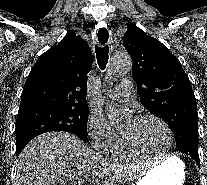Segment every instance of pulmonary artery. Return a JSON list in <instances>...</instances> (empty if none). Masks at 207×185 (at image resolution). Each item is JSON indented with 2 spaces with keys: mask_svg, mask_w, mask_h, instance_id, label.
I'll list each match as a JSON object with an SVG mask.
<instances>
[{
  "mask_svg": "<svg viewBox=\"0 0 207 185\" xmlns=\"http://www.w3.org/2000/svg\"><path fill=\"white\" fill-rule=\"evenodd\" d=\"M121 86H118L110 90L107 95L117 101H126L130 96V91L132 90L133 81H121Z\"/></svg>",
  "mask_w": 207,
  "mask_h": 185,
  "instance_id": "pulmonary-artery-1",
  "label": "pulmonary artery"
}]
</instances>
